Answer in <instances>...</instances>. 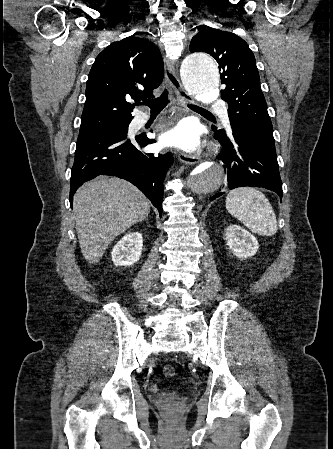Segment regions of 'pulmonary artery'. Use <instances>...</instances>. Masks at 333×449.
<instances>
[{
    "instance_id": "pulmonary-artery-1",
    "label": "pulmonary artery",
    "mask_w": 333,
    "mask_h": 449,
    "mask_svg": "<svg viewBox=\"0 0 333 449\" xmlns=\"http://www.w3.org/2000/svg\"><path fill=\"white\" fill-rule=\"evenodd\" d=\"M222 105L221 101H215L212 106L213 107H220ZM147 116H142L137 120L138 125H143L147 121Z\"/></svg>"
}]
</instances>
